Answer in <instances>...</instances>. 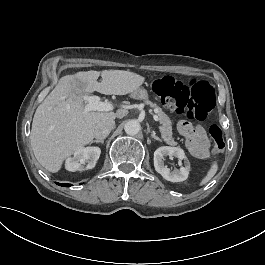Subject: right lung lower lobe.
<instances>
[{
    "instance_id": "obj_1",
    "label": "right lung lower lobe",
    "mask_w": 265,
    "mask_h": 265,
    "mask_svg": "<svg viewBox=\"0 0 265 265\" xmlns=\"http://www.w3.org/2000/svg\"><path fill=\"white\" fill-rule=\"evenodd\" d=\"M57 184L60 185V186H65V187L71 186L70 184H60V183H57Z\"/></svg>"
}]
</instances>
